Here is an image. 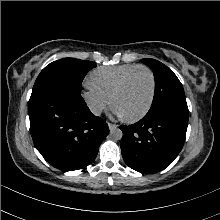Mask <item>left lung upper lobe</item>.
I'll use <instances>...</instances> for the list:
<instances>
[{
	"instance_id": "obj_1",
	"label": "left lung upper lobe",
	"mask_w": 220,
	"mask_h": 220,
	"mask_svg": "<svg viewBox=\"0 0 220 220\" xmlns=\"http://www.w3.org/2000/svg\"><path fill=\"white\" fill-rule=\"evenodd\" d=\"M142 63L154 71L155 94L152 106L146 115L156 112L169 111L188 118L183 86L177 76L163 63L155 59H142Z\"/></svg>"
}]
</instances>
